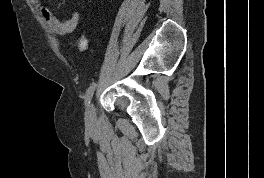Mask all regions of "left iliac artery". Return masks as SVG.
Listing matches in <instances>:
<instances>
[{
    "mask_svg": "<svg viewBox=\"0 0 264 178\" xmlns=\"http://www.w3.org/2000/svg\"><path fill=\"white\" fill-rule=\"evenodd\" d=\"M97 84L93 82L90 87L87 89L86 94H85V105L90 104L91 98L93 96V93L95 91Z\"/></svg>",
    "mask_w": 264,
    "mask_h": 178,
    "instance_id": "left-iliac-artery-1",
    "label": "left iliac artery"
}]
</instances>
